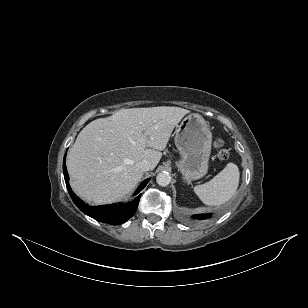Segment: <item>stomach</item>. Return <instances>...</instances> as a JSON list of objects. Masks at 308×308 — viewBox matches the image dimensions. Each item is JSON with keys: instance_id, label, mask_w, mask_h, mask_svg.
<instances>
[{"instance_id": "stomach-1", "label": "stomach", "mask_w": 308, "mask_h": 308, "mask_svg": "<svg viewBox=\"0 0 308 308\" xmlns=\"http://www.w3.org/2000/svg\"><path fill=\"white\" fill-rule=\"evenodd\" d=\"M212 133L207 121L199 114L186 116L175 131V145L181 160L177 163L186 182L202 178L208 170Z\"/></svg>"}]
</instances>
